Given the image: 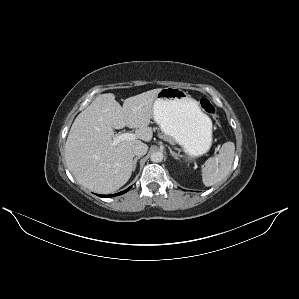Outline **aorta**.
Returning <instances> with one entry per match:
<instances>
[{
  "mask_svg": "<svg viewBox=\"0 0 299 299\" xmlns=\"http://www.w3.org/2000/svg\"><path fill=\"white\" fill-rule=\"evenodd\" d=\"M163 157H164L163 153L160 151H157V152H153L151 154L150 159L152 162H161L163 160Z\"/></svg>",
  "mask_w": 299,
  "mask_h": 299,
  "instance_id": "obj_1",
  "label": "aorta"
}]
</instances>
